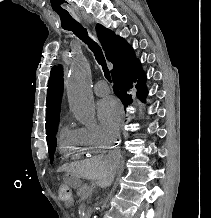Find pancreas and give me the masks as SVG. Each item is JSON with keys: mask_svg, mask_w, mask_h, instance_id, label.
<instances>
[{"mask_svg": "<svg viewBox=\"0 0 211 218\" xmlns=\"http://www.w3.org/2000/svg\"><path fill=\"white\" fill-rule=\"evenodd\" d=\"M77 195H84V200H91L92 199V186H81V190L76 191Z\"/></svg>", "mask_w": 211, "mask_h": 218, "instance_id": "pancreas-1", "label": "pancreas"}]
</instances>
